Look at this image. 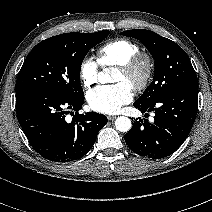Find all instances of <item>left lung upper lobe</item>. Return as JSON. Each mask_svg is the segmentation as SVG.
Listing matches in <instances>:
<instances>
[{
	"instance_id": "1",
	"label": "left lung upper lobe",
	"mask_w": 212,
	"mask_h": 212,
	"mask_svg": "<svg viewBox=\"0 0 212 212\" xmlns=\"http://www.w3.org/2000/svg\"><path fill=\"white\" fill-rule=\"evenodd\" d=\"M121 34L140 40L155 60L154 79L136 102L149 104L177 88L198 84L188 55L175 42L146 29Z\"/></svg>"
}]
</instances>
